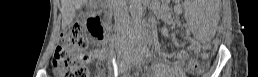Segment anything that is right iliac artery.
Masks as SVG:
<instances>
[{
    "mask_svg": "<svg viewBox=\"0 0 258 77\" xmlns=\"http://www.w3.org/2000/svg\"><path fill=\"white\" fill-rule=\"evenodd\" d=\"M115 77H117V72L115 73Z\"/></svg>",
    "mask_w": 258,
    "mask_h": 77,
    "instance_id": "obj_1",
    "label": "right iliac artery"
}]
</instances>
